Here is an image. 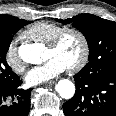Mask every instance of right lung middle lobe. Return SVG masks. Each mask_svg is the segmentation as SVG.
<instances>
[{
	"label": "right lung middle lobe",
	"instance_id": "right-lung-middle-lobe-1",
	"mask_svg": "<svg viewBox=\"0 0 116 116\" xmlns=\"http://www.w3.org/2000/svg\"><path fill=\"white\" fill-rule=\"evenodd\" d=\"M29 23V21L23 20L16 24H0V87L10 85L19 78L7 64L6 54L13 35L16 34L22 26Z\"/></svg>",
	"mask_w": 116,
	"mask_h": 116
}]
</instances>
